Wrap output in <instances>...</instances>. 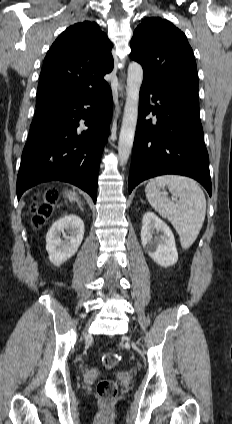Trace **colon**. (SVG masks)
Here are the masks:
<instances>
[{"mask_svg": "<svg viewBox=\"0 0 232 424\" xmlns=\"http://www.w3.org/2000/svg\"><path fill=\"white\" fill-rule=\"evenodd\" d=\"M57 197V192L54 189L47 190L43 194H35L32 197L33 225L36 228H42L51 216ZM117 362L118 355L115 352H107L102 357V363L107 369L113 368ZM96 392L100 399L109 402L117 396L118 388L114 381L105 379L97 383Z\"/></svg>", "mask_w": 232, "mask_h": 424, "instance_id": "1", "label": "colon"}]
</instances>
